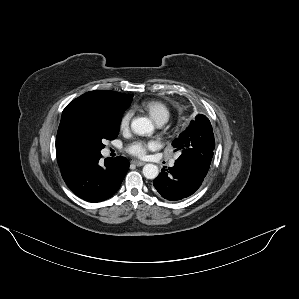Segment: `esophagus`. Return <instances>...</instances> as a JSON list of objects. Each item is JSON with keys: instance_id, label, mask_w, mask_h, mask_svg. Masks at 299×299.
I'll return each mask as SVG.
<instances>
[{"instance_id": "esophagus-1", "label": "esophagus", "mask_w": 299, "mask_h": 299, "mask_svg": "<svg viewBox=\"0 0 299 299\" xmlns=\"http://www.w3.org/2000/svg\"><path fill=\"white\" fill-rule=\"evenodd\" d=\"M131 163L138 166V167L143 166L145 164V162L138 161V160H132Z\"/></svg>"}]
</instances>
